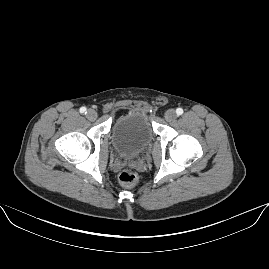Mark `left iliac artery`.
Masks as SVG:
<instances>
[{"instance_id": "obj_1", "label": "left iliac artery", "mask_w": 269, "mask_h": 269, "mask_svg": "<svg viewBox=\"0 0 269 269\" xmlns=\"http://www.w3.org/2000/svg\"><path fill=\"white\" fill-rule=\"evenodd\" d=\"M176 113H177V115H182L183 114V109L182 108H177Z\"/></svg>"}]
</instances>
